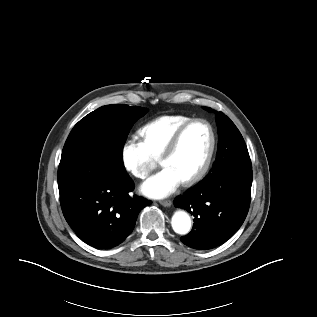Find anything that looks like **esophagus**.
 <instances>
[{"label": "esophagus", "mask_w": 317, "mask_h": 317, "mask_svg": "<svg viewBox=\"0 0 317 317\" xmlns=\"http://www.w3.org/2000/svg\"><path fill=\"white\" fill-rule=\"evenodd\" d=\"M160 204L164 207H170L172 205V201L171 200H162L160 201Z\"/></svg>", "instance_id": "obj_1"}]
</instances>
